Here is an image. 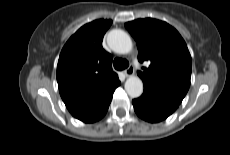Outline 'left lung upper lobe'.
Instances as JSON below:
<instances>
[{
  "label": "left lung upper lobe",
  "instance_id": "1",
  "mask_svg": "<svg viewBox=\"0 0 230 155\" xmlns=\"http://www.w3.org/2000/svg\"><path fill=\"white\" fill-rule=\"evenodd\" d=\"M137 43L138 60L150 61L138 71L145 87L181 103L191 78L192 60L181 35L164 21L146 18L125 24Z\"/></svg>",
  "mask_w": 230,
  "mask_h": 155
}]
</instances>
